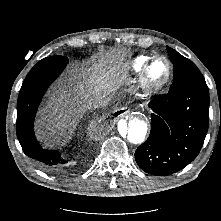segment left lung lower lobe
I'll use <instances>...</instances> for the list:
<instances>
[{"label":"left lung lower lobe","instance_id":"1","mask_svg":"<svg viewBox=\"0 0 221 221\" xmlns=\"http://www.w3.org/2000/svg\"><path fill=\"white\" fill-rule=\"evenodd\" d=\"M151 131L137 148L139 167L153 175H169L187 166L199 154L208 131L209 90L195 84L158 95L148 105Z\"/></svg>","mask_w":221,"mask_h":221}]
</instances>
